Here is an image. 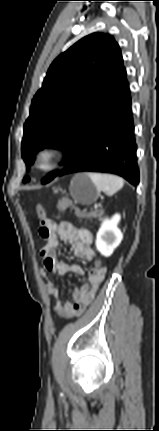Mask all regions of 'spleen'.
<instances>
[{"instance_id":"3e777b00","label":"spleen","mask_w":159,"mask_h":431,"mask_svg":"<svg viewBox=\"0 0 159 431\" xmlns=\"http://www.w3.org/2000/svg\"><path fill=\"white\" fill-rule=\"evenodd\" d=\"M87 175L99 191H103L109 196L115 194L124 185V180L115 175L101 173H87Z\"/></svg>"}]
</instances>
